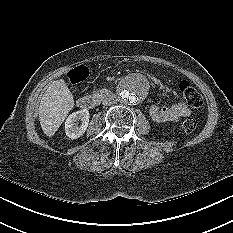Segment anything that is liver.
<instances>
[{
  "label": "liver",
  "mask_w": 233,
  "mask_h": 233,
  "mask_svg": "<svg viewBox=\"0 0 233 233\" xmlns=\"http://www.w3.org/2000/svg\"><path fill=\"white\" fill-rule=\"evenodd\" d=\"M74 106L71 91L63 79L50 83L39 105V121L43 132L51 137Z\"/></svg>",
  "instance_id": "liver-1"
}]
</instances>
